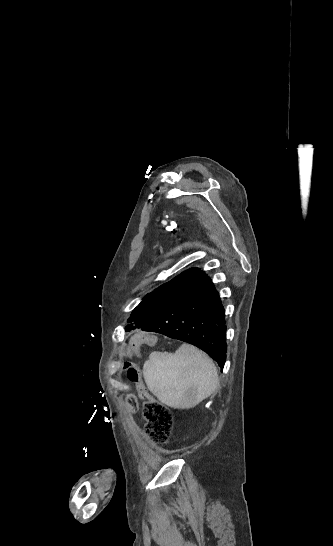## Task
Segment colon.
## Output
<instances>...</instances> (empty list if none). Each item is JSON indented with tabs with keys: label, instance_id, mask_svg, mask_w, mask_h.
I'll list each match as a JSON object with an SVG mask.
<instances>
[{
	"label": "colon",
	"instance_id": "colon-1",
	"mask_svg": "<svg viewBox=\"0 0 333 546\" xmlns=\"http://www.w3.org/2000/svg\"><path fill=\"white\" fill-rule=\"evenodd\" d=\"M132 346L133 343H131L130 348H132ZM122 371L124 375H127L125 383L128 386H136L141 392V397L145 401L143 405V416L146 421V436L156 445L166 444L173 428L171 411L161 402L152 399L146 381L140 379V368L132 358L126 360ZM127 401L129 403H134L135 396L130 394L127 397Z\"/></svg>",
	"mask_w": 333,
	"mask_h": 546
}]
</instances>
